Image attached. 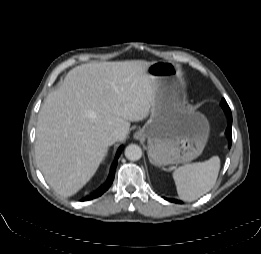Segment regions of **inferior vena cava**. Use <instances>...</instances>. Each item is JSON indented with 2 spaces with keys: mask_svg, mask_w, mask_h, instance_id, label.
Here are the masks:
<instances>
[{
  "mask_svg": "<svg viewBox=\"0 0 261 254\" xmlns=\"http://www.w3.org/2000/svg\"><path fill=\"white\" fill-rule=\"evenodd\" d=\"M118 138H119V135H118V132H112L110 133L106 139H105V142L108 146L114 144L116 141H118Z\"/></svg>",
  "mask_w": 261,
  "mask_h": 254,
  "instance_id": "inferior-vena-cava-1",
  "label": "inferior vena cava"
}]
</instances>
